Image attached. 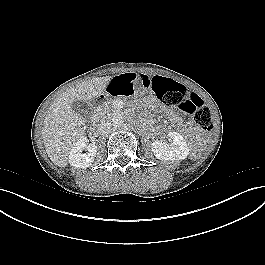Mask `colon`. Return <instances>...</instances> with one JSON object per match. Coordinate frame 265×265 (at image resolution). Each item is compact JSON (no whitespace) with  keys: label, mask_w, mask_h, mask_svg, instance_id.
<instances>
[{"label":"colon","mask_w":265,"mask_h":265,"mask_svg":"<svg viewBox=\"0 0 265 265\" xmlns=\"http://www.w3.org/2000/svg\"><path fill=\"white\" fill-rule=\"evenodd\" d=\"M151 85L156 97L166 107H179L182 111L192 114L202 129L212 128L210 110L197 94L189 93L181 83L161 76L154 77Z\"/></svg>","instance_id":"5ec220e1"}]
</instances>
